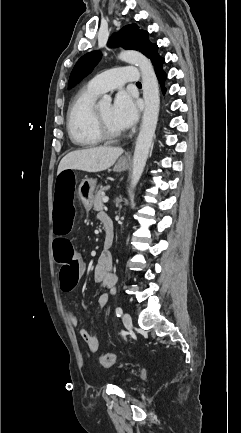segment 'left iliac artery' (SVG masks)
Returning a JSON list of instances; mask_svg holds the SVG:
<instances>
[{
  "mask_svg": "<svg viewBox=\"0 0 241 433\" xmlns=\"http://www.w3.org/2000/svg\"><path fill=\"white\" fill-rule=\"evenodd\" d=\"M122 313H123V311H122L121 307H117V308H116V315H117L118 317H120V316L122 315Z\"/></svg>",
  "mask_w": 241,
  "mask_h": 433,
  "instance_id": "1",
  "label": "left iliac artery"
}]
</instances>
